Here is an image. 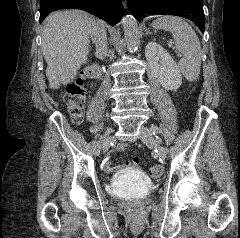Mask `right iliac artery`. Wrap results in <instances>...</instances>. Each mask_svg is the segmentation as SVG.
Wrapping results in <instances>:
<instances>
[{"label": "right iliac artery", "mask_w": 240, "mask_h": 238, "mask_svg": "<svg viewBox=\"0 0 240 238\" xmlns=\"http://www.w3.org/2000/svg\"><path fill=\"white\" fill-rule=\"evenodd\" d=\"M100 146H101V142L98 140V141L96 142L95 147H94V148H95L94 150H95V154H96V155H99V154H100V150H101V149H100V148H101Z\"/></svg>", "instance_id": "1"}]
</instances>
